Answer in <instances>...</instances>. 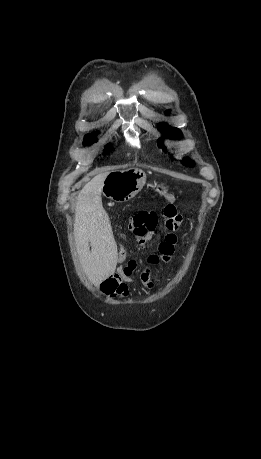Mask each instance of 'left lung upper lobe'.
<instances>
[{
	"label": "left lung upper lobe",
	"mask_w": 261,
	"mask_h": 459,
	"mask_svg": "<svg viewBox=\"0 0 261 459\" xmlns=\"http://www.w3.org/2000/svg\"><path fill=\"white\" fill-rule=\"evenodd\" d=\"M160 128L164 130L163 137L158 140L160 147H163V138H170V139L182 138V133L177 128H171L165 123H161ZM182 162L184 165H187V166H192L194 164V161H191L189 159H183Z\"/></svg>",
	"instance_id": "left-lung-upper-lobe-1"
}]
</instances>
